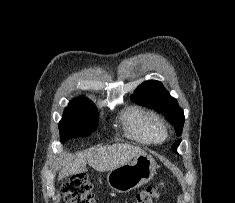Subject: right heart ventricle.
Masks as SVG:
<instances>
[{
	"label": "right heart ventricle",
	"mask_w": 235,
	"mask_h": 203,
	"mask_svg": "<svg viewBox=\"0 0 235 203\" xmlns=\"http://www.w3.org/2000/svg\"><path fill=\"white\" fill-rule=\"evenodd\" d=\"M127 135L143 144H158L166 138L160 117L147 109L133 107L125 113Z\"/></svg>",
	"instance_id": "1"
}]
</instances>
